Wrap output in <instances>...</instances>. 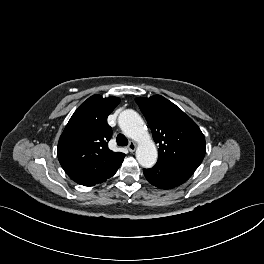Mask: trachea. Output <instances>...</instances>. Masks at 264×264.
<instances>
[{
	"instance_id": "3493384b",
	"label": "trachea",
	"mask_w": 264,
	"mask_h": 264,
	"mask_svg": "<svg viewBox=\"0 0 264 264\" xmlns=\"http://www.w3.org/2000/svg\"><path fill=\"white\" fill-rule=\"evenodd\" d=\"M117 145L119 146H127L128 139L123 134H118L116 138Z\"/></svg>"
}]
</instances>
